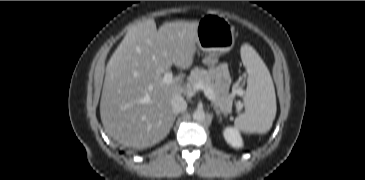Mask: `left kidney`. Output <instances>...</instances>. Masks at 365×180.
Segmentation results:
<instances>
[{"label": "left kidney", "instance_id": "left-kidney-1", "mask_svg": "<svg viewBox=\"0 0 365 180\" xmlns=\"http://www.w3.org/2000/svg\"><path fill=\"white\" fill-rule=\"evenodd\" d=\"M224 138L228 144L234 148H240L243 145L239 132L231 127H227L223 132Z\"/></svg>", "mask_w": 365, "mask_h": 180}]
</instances>
